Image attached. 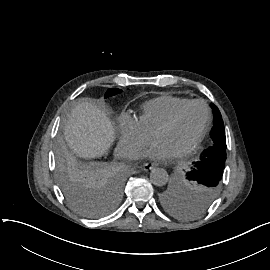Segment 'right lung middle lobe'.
I'll list each match as a JSON object with an SVG mask.
<instances>
[{"instance_id": "dd1d6c3e", "label": "right lung middle lobe", "mask_w": 270, "mask_h": 270, "mask_svg": "<svg viewBox=\"0 0 270 270\" xmlns=\"http://www.w3.org/2000/svg\"><path fill=\"white\" fill-rule=\"evenodd\" d=\"M121 93V89H108L104 98ZM57 181L67 203L78 213L98 217L107 212L121 195L122 176L110 164L91 165L60 151L57 158ZM105 195L110 207L97 205L99 196Z\"/></svg>"}]
</instances>
